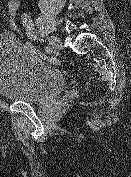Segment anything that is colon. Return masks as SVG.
I'll return each instance as SVG.
<instances>
[{
	"mask_svg": "<svg viewBox=\"0 0 131 177\" xmlns=\"http://www.w3.org/2000/svg\"><path fill=\"white\" fill-rule=\"evenodd\" d=\"M4 12L11 30L25 41L26 46L34 55L52 64L65 65L62 60L43 54L31 41L25 38L20 24L21 6L18 0H5Z\"/></svg>",
	"mask_w": 131,
	"mask_h": 177,
	"instance_id": "obj_1",
	"label": "colon"
}]
</instances>
